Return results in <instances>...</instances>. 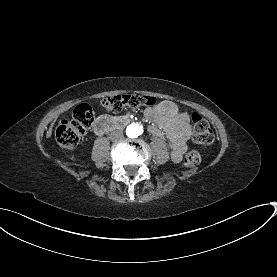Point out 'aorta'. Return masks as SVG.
<instances>
[{
    "label": "aorta",
    "instance_id": "762f6f07",
    "mask_svg": "<svg viewBox=\"0 0 277 277\" xmlns=\"http://www.w3.org/2000/svg\"><path fill=\"white\" fill-rule=\"evenodd\" d=\"M143 133V127L139 123H131L126 128V134L130 138H137Z\"/></svg>",
    "mask_w": 277,
    "mask_h": 277
}]
</instances>
